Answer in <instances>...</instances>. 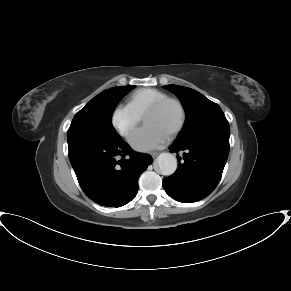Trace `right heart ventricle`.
<instances>
[{
	"mask_svg": "<svg viewBox=\"0 0 291 291\" xmlns=\"http://www.w3.org/2000/svg\"><path fill=\"white\" fill-rule=\"evenodd\" d=\"M166 97H168V95L158 89L142 88L134 91L130 95L129 104L140 116H142L149 105Z\"/></svg>",
	"mask_w": 291,
	"mask_h": 291,
	"instance_id": "e07e8e85",
	"label": "right heart ventricle"
}]
</instances>
